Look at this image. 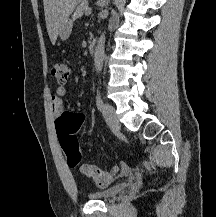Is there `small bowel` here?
<instances>
[{"instance_id": "obj_1", "label": "small bowel", "mask_w": 216, "mask_h": 217, "mask_svg": "<svg viewBox=\"0 0 216 217\" xmlns=\"http://www.w3.org/2000/svg\"><path fill=\"white\" fill-rule=\"evenodd\" d=\"M66 93H67V89L63 86H59L52 97L51 109L56 123L60 119V117L64 114L63 97L66 95Z\"/></svg>"}]
</instances>
